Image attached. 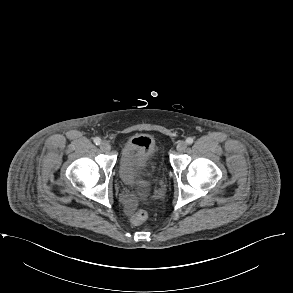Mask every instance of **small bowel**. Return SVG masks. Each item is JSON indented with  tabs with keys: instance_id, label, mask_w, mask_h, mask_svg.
<instances>
[{
	"instance_id": "c3829d8e",
	"label": "small bowel",
	"mask_w": 293,
	"mask_h": 293,
	"mask_svg": "<svg viewBox=\"0 0 293 293\" xmlns=\"http://www.w3.org/2000/svg\"><path fill=\"white\" fill-rule=\"evenodd\" d=\"M131 143L134 145H144V146L151 145L150 140L146 136H143V135H136L135 137L131 139ZM120 199L124 204L126 213L131 215L134 212L136 204H137L135 194L129 191H124L121 193Z\"/></svg>"
}]
</instances>
